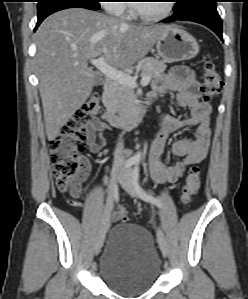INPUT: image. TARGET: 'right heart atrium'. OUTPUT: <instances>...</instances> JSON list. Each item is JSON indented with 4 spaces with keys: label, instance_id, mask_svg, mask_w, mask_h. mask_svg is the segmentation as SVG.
Listing matches in <instances>:
<instances>
[{
    "label": "right heart atrium",
    "instance_id": "d8ad5b80",
    "mask_svg": "<svg viewBox=\"0 0 248 299\" xmlns=\"http://www.w3.org/2000/svg\"><path fill=\"white\" fill-rule=\"evenodd\" d=\"M104 6L108 12L114 15H123L127 10L123 0H106Z\"/></svg>",
    "mask_w": 248,
    "mask_h": 299
}]
</instances>
